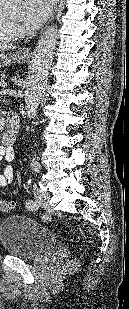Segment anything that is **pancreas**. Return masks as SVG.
Instances as JSON below:
<instances>
[{
  "instance_id": "cf45deb5",
  "label": "pancreas",
  "mask_w": 129,
  "mask_h": 309,
  "mask_svg": "<svg viewBox=\"0 0 129 309\" xmlns=\"http://www.w3.org/2000/svg\"><path fill=\"white\" fill-rule=\"evenodd\" d=\"M3 78H4V75L0 74V83L4 81Z\"/></svg>"
}]
</instances>
